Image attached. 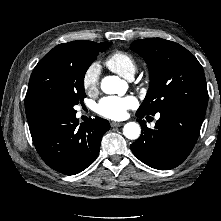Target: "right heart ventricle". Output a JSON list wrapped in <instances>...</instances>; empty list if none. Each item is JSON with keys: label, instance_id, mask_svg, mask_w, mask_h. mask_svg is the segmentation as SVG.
<instances>
[{"label": "right heart ventricle", "instance_id": "right-heart-ventricle-1", "mask_svg": "<svg viewBox=\"0 0 221 221\" xmlns=\"http://www.w3.org/2000/svg\"><path fill=\"white\" fill-rule=\"evenodd\" d=\"M106 66L124 78H132L137 70L135 58L124 51H115L105 60Z\"/></svg>", "mask_w": 221, "mask_h": 221}]
</instances>
